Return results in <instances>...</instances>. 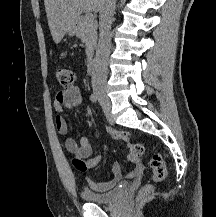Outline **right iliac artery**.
I'll return each mask as SVG.
<instances>
[{
    "mask_svg": "<svg viewBox=\"0 0 216 217\" xmlns=\"http://www.w3.org/2000/svg\"><path fill=\"white\" fill-rule=\"evenodd\" d=\"M90 100H91V102L96 103L98 101V98L94 93H92L90 95Z\"/></svg>",
    "mask_w": 216,
    "mask_h": 217,
    "instance_id": "right-iliac-artery-1",
    "label": "right iliac artery"
}]
</instances>
